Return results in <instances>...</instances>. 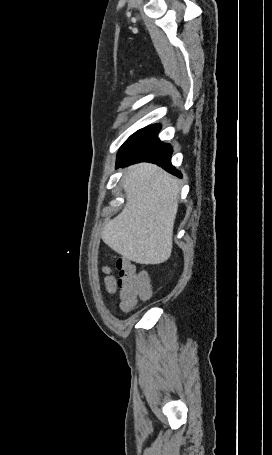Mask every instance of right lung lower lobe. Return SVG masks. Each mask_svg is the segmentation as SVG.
<instances>
[{
    "mask_svg": "<svg viewBox=\"0 0 272 455\" xmlns=\"http://www.w3.org/2000/svg\"><path fill=\"white\" fill-rule=\"evenodd\" d=\"M161 125L155 124L140 129L121 146L117 155V167L137 162H152L168 172L181 177L171 164L172 147L163 144L157 137Z\"/></svg>",
    "mask_w": 272,
    "mask_h": 455,
    "instance_id": "98d812e1",
    "label": "right lung lower lobe"
}]
</instances>
